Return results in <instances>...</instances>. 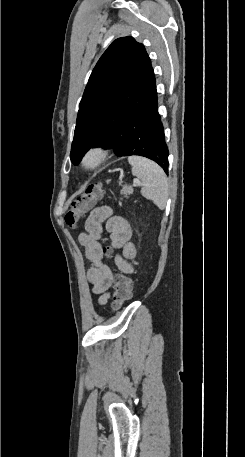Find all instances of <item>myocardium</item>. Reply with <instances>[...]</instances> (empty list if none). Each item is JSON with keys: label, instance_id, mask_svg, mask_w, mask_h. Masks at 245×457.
Wrapping results in <instances>:
<instances>
[{"label": "myocardium", "instance_id": "obj_1", "mask_svg": "<svg viewBox=\"0 0 245 457\" xmlns=\"http://www.w3.org/2000/svg\"><path fill=\"white\" fill-rule=\"evenodd\" d=\"M107 152L102 148H93L88 151L83 159L82 164L87 169L97 168L106 158Z\"/></svg>", "mask_w": 245, "mask_h": 457}]
</instances>
